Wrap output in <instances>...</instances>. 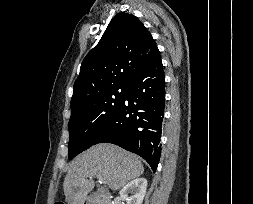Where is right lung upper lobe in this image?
I'll return each mask as SVG.
<instances>
[{
  "label": "right lung upper lobe",
  "mask_w": 253,
  "mask_h": 204,
  "mask_svg": "<svg viewBox=\"0 0 253 204\" xmlns=\"http://www.w3.org/2000/svg\"><path fill=\"white\" fill-rule=\"evenodd\" d=\"M157 50L151 34L137 17L115 15L81 64L71 108L110 89L126 87Z\"/></svg>",
  "instance_id": "obj_1"
}]
</instances>
